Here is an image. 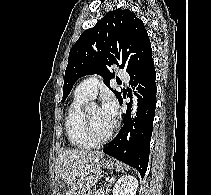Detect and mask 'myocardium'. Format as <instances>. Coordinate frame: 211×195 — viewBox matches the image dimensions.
Returning a JSON list of instances; mask_svg holds the SVG:
<instances>
[{"instance_id":"myocardium-1","label":"myocardium","mask_w":211,"mask_h":195,"mask_svg":"<svg viewBox=\"0 0 211 195\" xmlns=\"http://www.w3.org/2000/svg\"><path fill=\"white\" fill-rule=\"evenodd\" d=\"M83 122H84V129H85L86 136L94 145H100L110 140L117 129V123L114 122L112 128L105 136L103 137L96 136L92 128L91 119H90L88 110H85L83 113Z\"/></svg>"}]
</instances>
